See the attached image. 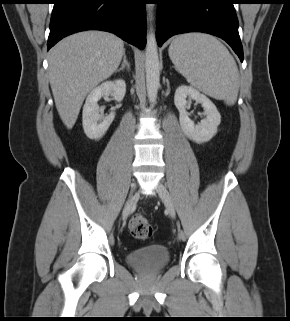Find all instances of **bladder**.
I'll return each mask as SVG.
<instances>
[{
  "label": "bladder",
  "instance_id": "1",
  "mask_svg": "<svg viewBox=\"0 0 290 321\" xmlns=\"http://www.w3.org/2000/svg\"><path fill=\"white\" fill-rule=\"evenodd\" d=\"M171 259V252L161 245H147L126 253V263L135 269L156 272L165 267Z\"/></svg>",
  "mask_w": 290,
  "mask_h": 321
}]
</instances>
